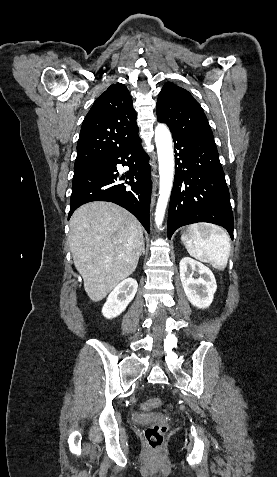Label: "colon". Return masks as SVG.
I'll return each instance as SVG.
<instances>
[{
  "label": "colon",
  "instance_id": "5ec220e1",
  "mask_svg": "<svg viewBox=\"0 0 277 477\" xmlns=\"http://www.w3.org/2000/svg\"><path fill=\"white\" fill-rule=\"evenodd\" d=\"M161 400L158 398H153L142 404L144 410H149L152 408L159 407L161 405ZM168 431L167 423H156L149 426L145 432L144 437L148 447L153 450H159L162 447L166 432Z\"/></svg>",
  "mask_w": 277,
  "mask_h": 477
}]
</instances>
